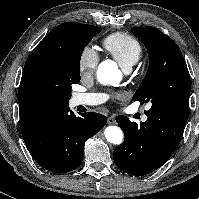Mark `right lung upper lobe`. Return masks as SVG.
Listing matches in <instances>:
<instances>
[{
  "mask_svg": "<svg viewBox=\"0 0 199 199\" xmlns=\"http://www.w3.org/2000/svg\"><path fill=\"white\" fill-rule=\"evenodd\" d=\"M59 26L49 32L34 48L24 65L18 90V103L20 129L25 143L30 142L38 133L50 126L56 115L69 107V104L66 105L61 101L38 96L32 88L34 72L41 64Z\"/></svg>",
  "mask_w": 199,
  "mask_h": 199,
  "instance_id": "obj_1",
  "label": "right lung upper lobe"
}]
</instances>
